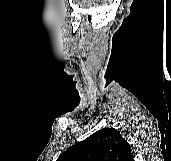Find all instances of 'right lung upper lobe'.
Instances as JSON below:
<instances>
[{"label": "right lung upper lobe", "mask_w": 171, "mask_h": 161, "mask_svg": "<svg viewBox=\"0 0 171 161\" xmlns=\"http://www.w3.org/2000/svg\"><path fill=\"white\" fill-rule=\"evenodd\" d=\"M57 161H134V156L116 129L104 128L67 149Z\"/></svg>", "instance_id": "cb5924a9"}]
</instances>
